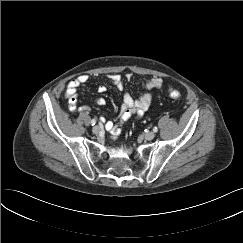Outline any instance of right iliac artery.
Returning <instances> with one entry per match:
<instances>
[{"instance_id":"82829eb1","label":"right iliac artery","mask_w":243,"mask_h":243,"mask_svg":"<svg viewBox=\"0 0 243 243\" xmlns=\"http://www.w3.org/2000/svg\"><path fill=\"white\" fill-rule=\"evenodd\" d=\"M96 124V119L91 120V125L94 126Z\"/></svg>"}]
</instances>
